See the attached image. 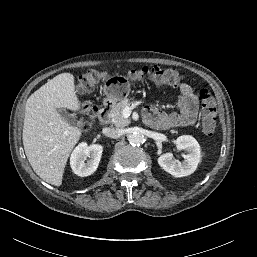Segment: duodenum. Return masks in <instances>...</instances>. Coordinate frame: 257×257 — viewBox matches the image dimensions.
Masks as SVG:
<instances>
[{
    "label": "duodenum",
    "mask_w": 257,
    "mask_h": 257,
    "mask_svg": "<svg viewBox=\"0 0 257 257\" xmlns=\"http://www.w3.org/2000/svg\"><path fill=\"white\" fill-rule=\"evenodd\" d=\"M112 110V104L111 103H105L102 108L99 110V120L102 124H107L110 119V114Z\"/></svg>",
    "instance_id": "410a0bca"
}]
</instances>
